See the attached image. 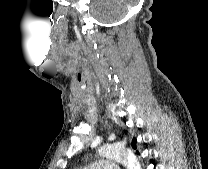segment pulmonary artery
<instances>
[{
    "instance_id": "pulmonary-artery-1",
    "label": "pulmonary artery",
    "mask_w": 208,
    "mask_h": 169,
    "mask_svg": "<svg viewBox=\"0 0 208 169\" xmlns=\"http://www.w3.org/2000/svg\"><path fill=\"white\" fill-rule=\"evenodd\" d=\"M80 169H120L119 166L110 158H100L95 162Z\"/></svg>"
}]
</instances>
